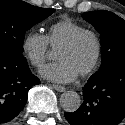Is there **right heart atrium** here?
<instances>
[{
  "label": "right heart atrium",
  "instance_id": "right-heart-atrium-1",
  "mask_svg": "<svg viewBox=\"0 0 125 125\" xmlns=\"http://www.w3.org/2000/svg\"><path fill=\"white\" fill-rule=\"evenodd\" d=\"M21 50L31 66L36 69L42 68L49 52L46 36L33 31L28 32L22 39Z\"/></svg>",
  "mask_w": 125,
  "mask_h": 125
}]
</instances>
